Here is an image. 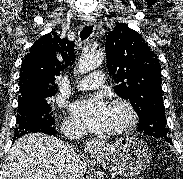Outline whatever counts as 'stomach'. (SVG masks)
<instances>
[{
    "mask_svg": "<svg viewBox=\"0 0 183 179\" xmlns=\"http://www.w3.org/2000/svg\"><path fill=\"white\" fill-rule=\"evenodd\" d=\"M94 156L104 168L126 177L145 171L152 158L147 144L136 137L102 144L94 152Z\"/></svg>",
    "mask_w": 183,
    "mask_h": 179,
    "instance_id": "obj_1",
    "label": "stomach"
}]
</instances>
